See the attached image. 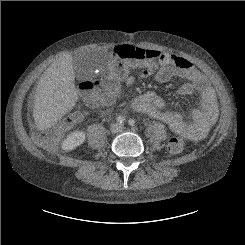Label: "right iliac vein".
Instances as JSON below:
<instances>
[{
  "label": "right iliac vein",
  "mask_w": 245,
  "mask_h": 245,
  "mask_svg": "<svg viewBox=\"0 0 245 245\" xmlns=\"http://www.w3.org/2000/svg\"><path fill=\"white\" fill-rule=\"evenodd\" d=\"M118 129H119V127L116 124L111 126V131L112 132H116Z\"/></svg>",
  "instance_id": "1"
}]
</instances>
